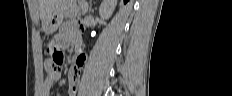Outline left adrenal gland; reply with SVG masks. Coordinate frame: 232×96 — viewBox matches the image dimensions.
Listing matches in <instances>:
<instances>
[{
	"mask_svg": "<svg viewBox=\"0 0 232 96\" xmlns=\"http://www.w3.org/2000/svg\"><path fill=\"white\" fill-rule=\"evenodd\" d=\"M91 2V1H90ZM93 10H92V5H91V3H90V6H89V12H92Z\"/></svg>",
	"mask_w": 232,
	"mask_h": 96,
	"instance_id": "left-adrenal-gland-1",
	"label": "left adrenal gland"
}]
</instances>
